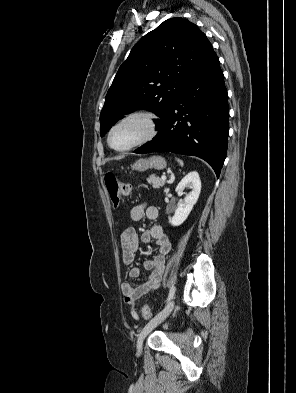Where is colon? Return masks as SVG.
Wrapping results in <instances>:
<instances>
[{
  "label": "colon",
  "instance_id": "1",
  "mask_svg": "<svg viewBox=\"0 0 296 393\" xmlns=\"http://www.w3.org/2000/svg\"><path fill=\"white\" fill-rule=\"evenodd\" d=\"M104 185L114 207L119 205L121 196H127L131 191L129 184L119 182L112 173H107L104 176ZM141 312L145 320L151 319L152 312L148 305H143Z\"/></svg>",
  "mask_w": 296,
  "mask_h": 393
}]
</instances>
